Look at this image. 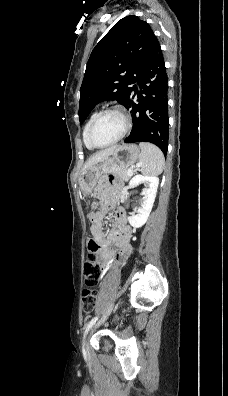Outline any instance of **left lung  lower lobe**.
<instances>
[{
	"instance_id": "left-lung-lower-lobe-1",
	"label": "left lung lower lobe",
	"mask_w": 228,
	"mask_h": 396,
	"mask_svg": "<svg viewBox=\"0 0 228 396\" xmlns=\"http://www.w3.org/2000/svg\"><path fill=\"white\" fill-rule=\"evenodd\" d=\"M137 80L142 91L138 92L134 85L132 95L125 105L127 109L131 108L133 127L124 142H150L166 155L169 134L168 78L157 38Z\"/></svg>"
}]
</instances>
